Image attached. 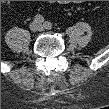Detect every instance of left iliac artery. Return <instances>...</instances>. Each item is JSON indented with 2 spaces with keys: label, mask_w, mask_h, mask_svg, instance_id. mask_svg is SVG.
I'll use <instances>...</instances> for the list:
<instances>
[{
  "label": "left iliac artery",
  "mask_w": 109,
  "mask_h": 109,
  "mask_svg": "<svg viewBox=\"0 0 109 109\" xmlns=\"http://www.w3.org/2000/svg\"><path fill=\"white\" fill-rule=\"evenodd\" d=\"M44 27H45L46 29H50V28H51V23H50V22H45V23H44Z\"/></svg>",
  "instance_id": "44dca946"
}]
</instances>
